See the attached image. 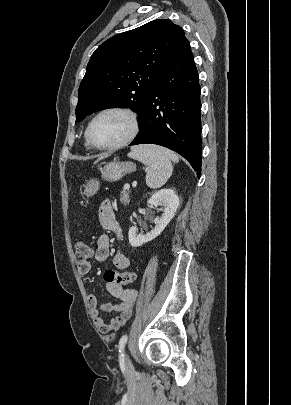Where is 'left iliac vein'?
Here are the masks:
<instances>
[{
	"instance_id": "1",
	"label": "left iliac vein",
	"mask_w": 291,
	"mask_h": 405,
	"mask_svg": "<svg viewBox=\"0 0 291 405\" xmlns=\"http://www.w3.org/2000/svg\"><path fill=\"white\" fill-rule=\"evenodd\" d=\"M125 366H126V369L127 370H131L132 369V363H131V361H130V359H129V357L126 355V357H125Z\"/></svg>"
}]
</instances>
